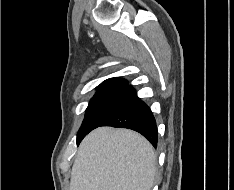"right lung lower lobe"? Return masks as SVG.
Listing matches in <instances>:
<instances>
[{"mask_svg": "<svg viewBox=\"0 0 234 190\" xmlns=\"http://www.w3.org/2000/svg\"><path fill=\"white\" fill-rule=\"evenodd\" d=\"M99 126L132 129L142 134L155 148L157 147L158 132L155 118L150 108L137 97L134 88L128 83L116 105ZM84 137L85 135L77 138V144Z\"/></svg>", "mask_w": 234, "mask_h": 190, "instance_id": "1", "label": "right lung lower lobe"}]
</instances>
